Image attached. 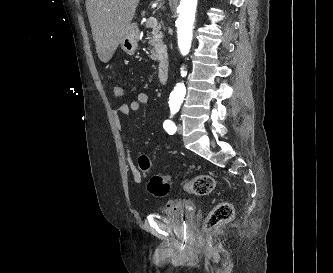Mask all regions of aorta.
I'll return each instance as SVG.
<instances>
[{"instance_id": "762f6f07", "label": "aorta", "mask_w": 333, "mask_h": 273, "mask_svg": "<svg viewBox=\"0 0 333 273\" xmlns=\"http://www.w3.org/2000/svg\"><path fill=\"white\" fill-rule=\"evenodd\" d=\"M198 0H180L178 6L177 39L178 47L182 55H187L191 48L193 28ZM185 72L182 71V75ZM185 96L184 84H177L170 95V103L180 105Z\"/></svg>"}]
</instances>
